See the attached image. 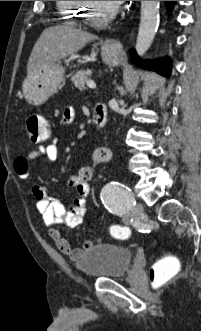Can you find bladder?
<instances>
[{"label":"bladder","mask_w":201,"mask_h":331,"mask_svg":"<svg viewBox=\"0 0 201 331\" xmlns=\"http://www.w3.org/2000/svg\"><path fill=\"white\" fill-rule=\"evenodd\" d=\"M133 259V252L126 247L100 243L77 260L76 267L92 279L120 278L128 272Z\"/></svg>","instance_id":"bladder-1"}]
</instances>
